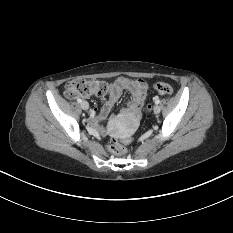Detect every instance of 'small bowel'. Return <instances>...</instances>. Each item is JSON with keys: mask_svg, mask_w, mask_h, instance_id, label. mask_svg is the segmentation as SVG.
Here are the masks:
<instances>
[{"mask_svg": "<svg viewBox=\"0 0 233 233\" xmlns=\"http://www.w3.org/2000/svg\"><path fill=\"white\" fill-rule=\"evenodd\" d=\"M147 90V83L141 79H132L129 77L117 78L115 81L108 84L106 91L107 98L101 110L92 109L90 112L92 124L100 130H103L99 125L100 121L108 115L111 108L124 91H128L131 94V100L123 113L127 114L133 121H136L141 115V108L145 101Z\"/></svg>", "mask_w": 233, "mask_h": 233, "instance_id": "obj_1", "label": "small bowel"}]
</instances>
